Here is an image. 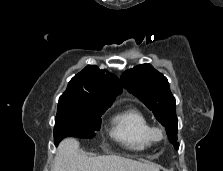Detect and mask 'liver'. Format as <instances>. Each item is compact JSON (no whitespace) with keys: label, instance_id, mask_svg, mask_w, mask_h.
I'll return each instance as SVG.
<instances>
[{"label":"liver","instance_id":"obj_1","mask_svg":"<svg viewBox=\"0 0 223 171\" xmlns=\"http://www.w3.org/2000/svg\"><path fill=\"white\" fill-rule=\"evenodd\" d=\"M160 166L116 155L89 157L79 142L66 138L60 142L52 171H159Z\"/></svg>","mask_w":223,"mask_h":171}]
</instances>
